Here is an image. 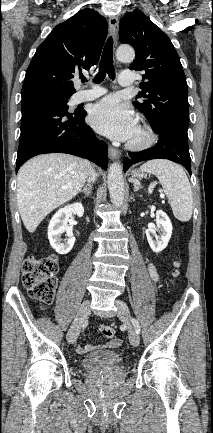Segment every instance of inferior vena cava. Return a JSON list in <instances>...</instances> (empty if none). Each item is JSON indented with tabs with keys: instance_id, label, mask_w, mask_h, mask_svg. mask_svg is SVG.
Segmentation results:
<instances>
[{
	"instance_id": "1",
	"label": "inferior vena cava",
	"mask_w": 213,
	"mask_h": 433,
	"mask_svg": "<svg viewBox=\"0 0 213 433\" xmlns=\"http://www.w3.org/2000/svg\"><path fill=\"white\" fill-rule=\"evenodd\" d=\"M96 177H97V174L94 172L93 169H91L89 171V174H88V181H89V183L94 182L95 179H96Z\"/></svg>"
}]
</instances>
